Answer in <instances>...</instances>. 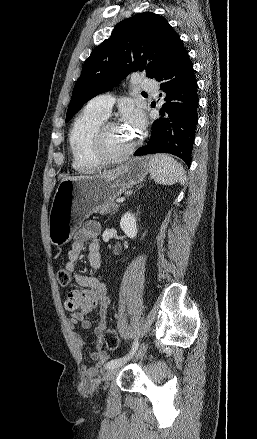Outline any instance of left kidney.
<instances>
[{"label": "left kidney", "mask_w": 257, "mask_h": 439, "mask_svg": "<svg viewBox=\"0 0 257 439\" xmlns=\"http://www.w3.org/2000/svg\"><path fill=\"white\" fill-rule=\"evenodd\" d=\"M136 221L135 216L130 212L125 213L121 217L120 227L129 238H134L137 235L138 229Z\"/></svg>", "instance_id": "1"}]
</instances>
